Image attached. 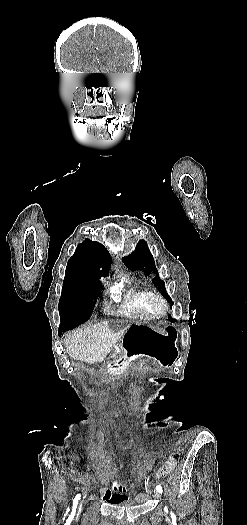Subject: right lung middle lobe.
<instances>
[{"instance_id":"right-lung-middle-lobe-1","label":"right lung middle lobe","mask_w":247,"mask_h":525,"mask_svg":"<svg viewBox=\"0 0 247 525\" xmlns=\"http://www.w3.org/2000/svg\"><path fill=\"white\" fill-rule=\"evenodd\" d=\"M101 276L66 272L59 299L61 327L73 328L87 321L103 288Z\"/></svg>"}]
</instances>
